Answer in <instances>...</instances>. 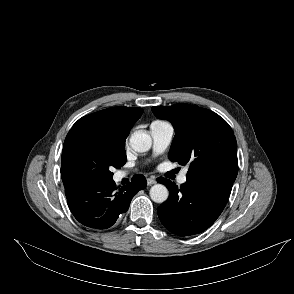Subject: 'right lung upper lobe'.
<instances>
[{
	"mask_svg": "<svg viewBox=\"0 0 294 294\" xmlns=\"http://www.w3.org/2000/svg\"><path fill=\"white\" fill-rule=\"evenodd\" d=\"M142 113L143 109L138 107H113L86 115L68 132L63 150L82 137L125 142L130 129Z\"/></svg>",
	"mask_w": 294,
	"mask_h": 294,
	"instance_id": "1",
	"label": "right lung upper lobe"
}]
</instances>
